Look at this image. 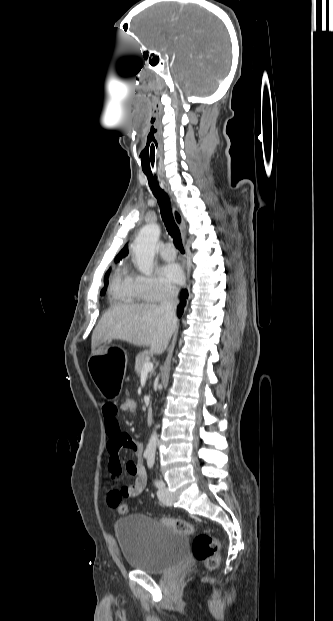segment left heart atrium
Returning <instances> with one entry per match:
<instances>
[{"instance_id":"obj_1","label":"left heart atrium","mask_w":333,"mask_h":621,"mask_svg":"<svg viewBox=\"0 0 333 621\" xmlns=\"http://www.w3.org/2000/svg\"><path fill=\"white\" fill-rule=\"evenodd\" d=\"M162 279L170 285H178L184 279L183 271L177 263H167L160 270Z\"/></svg>"}]
</instances>
